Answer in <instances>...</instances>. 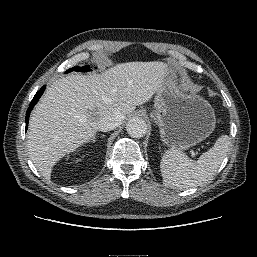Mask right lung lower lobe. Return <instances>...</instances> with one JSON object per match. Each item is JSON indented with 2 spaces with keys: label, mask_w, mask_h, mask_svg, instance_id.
Returning <instances> with one entry per match:
<instances>
[{
  "label": "right lung lower lobe",
  "mask_w": 257,
  "mask_h": 257,
  "mask_svg": "<svg viewBox=\"0 0 257 257\" xmlns=\"http://www.w3.org/2000/svg\"><path fill=\"white\" fill-rule=\"evenodd\" d=\"M45 90V85L35 94L34 98L32 99L30 105H29V108L26 112V129H27V126H28V120H29V115H30V112L31 110L33 109V107L35 106V104L38 102L39 98L41 97V95L43 94Z\"/></svg>",
  "instance_id": "obj_1"
}]
</instances>
